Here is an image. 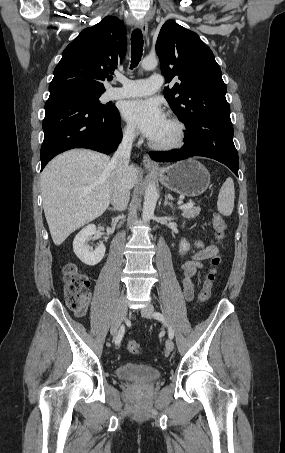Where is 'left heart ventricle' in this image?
<instances>
[{"label": "left heart ventricle", "instance_id": "b2bd125f", "mask_svg": "<svg viewBox=\"0 0 285 453\" xmlns=\"http://www.w3.org/2000/svg\"><path fill=\"white\" fill-rule=\"evenodd\" d=\"M175 136H176L175 126L166 119L160 131L152 140L158 143H165L172 141L175 138Z\"/></svg>", "mask_w": 285, "mask_h": 453}]
</instances>
